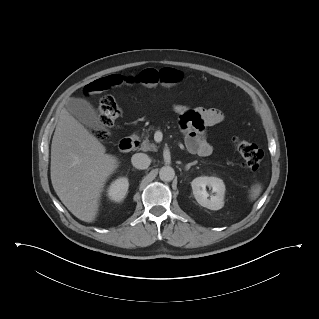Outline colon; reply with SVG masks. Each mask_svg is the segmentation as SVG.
Here are the masks:
<instances>
[{"mask_svg":"<svg viewBox=\"0 0 319 319\" xmlns=\"http://www.w3.org/2000/svg\"><path fill=\"white\" fill-rule=\"evenodd\" d=\"M120 114V107L112 96L101 98L98 110L99 125L94 131L96 137L101 140L106 139L108 128L114 124ZM234 145L243 157L246 166L252 171H257L264 156L262 150L257 145L239 138L234 139Z\"/></svg>","mask_w":319,"mask_h":319,"instance_id":"1","label":"colon"}]
</instances>
